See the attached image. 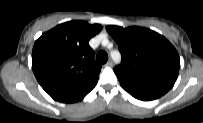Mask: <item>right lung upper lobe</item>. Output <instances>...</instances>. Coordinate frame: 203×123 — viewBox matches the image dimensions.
Instances as JSON below:
<instances>
[{
    "label": "right lung upper lobe",
    "mask_w": 203,
    "mask_h": 123,
    "mask_svg": "<svg viewBox=\"0 0 203 123\" xmlns=\"http://www.w3.org/2000/svg\"><path fill=\"white\" fill-rule=\"evenodd\" d=\"M101 29L99 24L70 21L36 40L32 69L50 96L83 91L97 83L101 65L93 61L94 52L88 42Z\"/></svg>",
    "instance_id": "obj_1"
}]
</instances>
